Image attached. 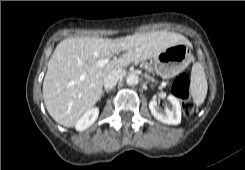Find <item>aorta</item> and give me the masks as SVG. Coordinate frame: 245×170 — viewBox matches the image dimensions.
Returning a JSON list of instances; mask_svg holds the SVG:
<instances>
[{"instance_id":"obj_1","label":"aorta","mask_w":245,"mask_h":170,"mask_svg":"<svg viewBox=\"0 0 245 170\" xmlns=\"http://www.w3.org/2000/svg\"><path fill=\"white\" fill-rule=\"evenodd\" d=\"M139 82V77L136 74H129L126 78V83L130 86L136 85Z\"/></svg>"}]
</instances>
